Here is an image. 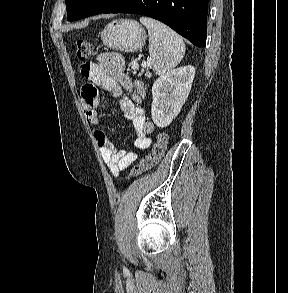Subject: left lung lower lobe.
Wrapping results in <instances>:
<instances>
[{"label":"left lung lower lobe","instance_id":"0a47b994","mask_svg":"<svg viewBox=\"0 0 288 293\" xmlns=\"http://www.w3.org/2000/svg\"><path fill=\"white\" fill-rule=\"evenodd\" d=\"M102 13H132L157 19L198 47L207 37L208 0H119Z\"/></svg>","mask_w":288,"mask_h":293}]
</instances>
